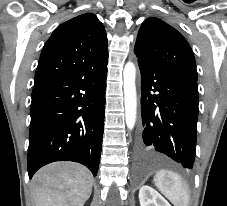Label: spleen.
Instances as JSON below:
<instances>
[{"label": "spleen", "instance_id": "obj_1", "mask_svg": "<svg viewBox=\"0 0 227 206\" xmlns=\"http://www.w3.org/2000/svg\"><path fill=\"white\" fill-rule=\"evenodd\" d=\"M154 183L174 206H188V186L178 174L168 170H160L154 177Z\"/></svg>", "mask_w": 227, "mask_h": 206}]
</instances>
